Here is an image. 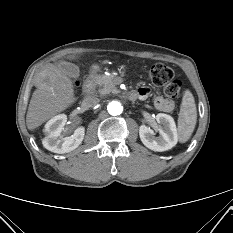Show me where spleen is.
<instances>
[{
	"mask_svg": "<svg viewBox=\"0 0 233 233\" xmlns=\"http://www.w3.org/2000/svg\"><path fill=\"white\" fill-rule=\"evenodd\" d=\"M197 110L192 93L186 90L183 94L181 109L178 118V134L181 143L187 142L196 125Z\"/></svg>",
	"mask_w": 233,
	"mask_h": 233,
	"instance_id": "obj_1",
	"label": "spleen"
}]
</instances>
